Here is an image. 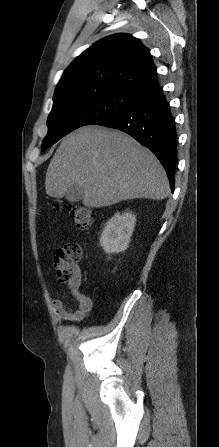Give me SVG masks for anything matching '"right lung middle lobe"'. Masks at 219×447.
Here are the masks:
<instances>
[{
    "label": "right lung middle lobe",
    "mask_w": 219,
    "mask_h": 447,
    "mask_svg": "<svg viewBox=\"0 0 219 447\" xmlns=\"http://www.w3.org/2000/svg\"><path fill=\"white\" fill-rule=\"evenodd\" d=\"M53 101L42 151L71 131L97 124L140 100L113 86L76 85L55 91Z\"/></svg>",
    "instance_id": "obj_1"
}]
</instances>
